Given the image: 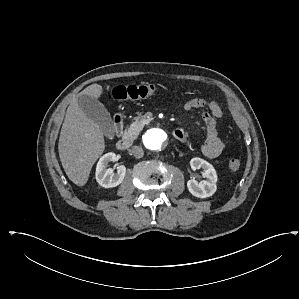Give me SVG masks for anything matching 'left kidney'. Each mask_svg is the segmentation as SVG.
I'll return each mask as SVG.
<instances>
[{"label":"left kidney","mask_w":299,"mask_h":299,"mask_svg":"<svg viewBox=\"0 0 299 299\" xmlns=\"http://www.w3.org/2000/svg\"><path fill=\"white\" fill-rule=\"evenodd\" d=\"M190 166L194 171L202 168L204 177L207 178V180L198 182L195 178L190 179L187 182L189 192L197 198H207L212 196L217 189V173L215 168L207 161L198 157L191 159Z\"/></svg>","instance_id":"left-kidney-1"}]
</instances>
